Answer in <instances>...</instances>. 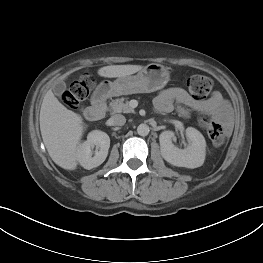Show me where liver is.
Masks as SVG:
<instances>
[{"instance_id": "liver-1", "label": "liver", "mask_w": 263, "mask_h": 263, "mask_svg": "<svg viewBox=\"0 0 263 263\" xmlns=\"http://www.w3.org/2000/svg\"><path fill=\"white\" fill-rule=\"evenodd\" d=\"M142 68L141 65H110L100 68L98 75L116 78L132 75ZM39 120L42 139L52 160L63 169L75 170L84 131L82 117L67 109L52 90H48L41 105Z\"/></svg>"}]
</instances>
